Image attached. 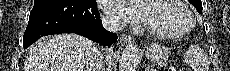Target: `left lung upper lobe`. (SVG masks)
<instances>
[{
  "label": "left lung upper lobe",
  "mask_w": 230,
  "mask_h": 71,
  "mask_svg": "<svg viewBox=\"0 0 230 71\" xmlns=\"http://www.w3.org/2000/svg\"><path fill=\"white\" fill-rule=\"evenodd\" d=\"M189 2L201 13L203 9L201 0H189Z\"/></svg>",
  "instance_id": "left-lung-upper-lobe-1"
}]
</instances>
